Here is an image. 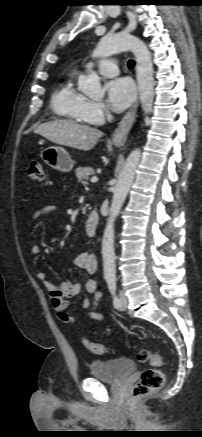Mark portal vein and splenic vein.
<instances>
[{
    "mask_svg": "<svg viewBox=\"0 0 202 437\" xmlns=\"http://www.w3.org/2000/svg\"><path fill=\"white\" fill-rule=\"evenodd\" d=\"M97 181H98V178H97V177H92V178H91V182L95 183V182H97Z\"/></svg>",
    "mask_w": 202,
    "mask_h": 437,
    "instance_id": "1",
    "label": "portal vein and splenic vein"
}]
</instances>
